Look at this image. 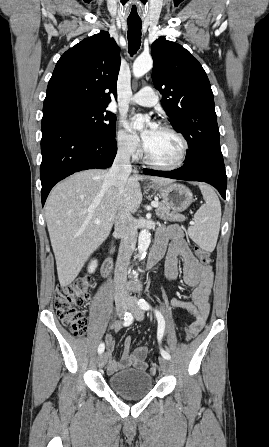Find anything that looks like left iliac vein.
I'll use <instances>...</instances> for the list:
<instances>
[{
  "mask_svg": "<svg viewBox=\"0 0 269 447\" xmlns=\"http://www.w3.org/2000/svg\"><path fill=\"white\" fill-rule=\"evenodd\" d=\"M128 309L133 313L136 320L141 321L144 317V311L143 309L137 304V300L134 297H131L128 302ZM159 364L161 367V370L163 372H166L167 369L170 367V361L165 358L159 359Z\"/></svg>",
  "mask_w": 269,
  "mask_h": 447,
  "instance_id": "obj_1",
  "label": "left iliac vein"
}]
</instances>
